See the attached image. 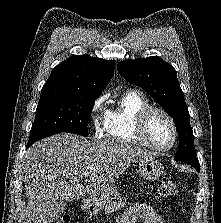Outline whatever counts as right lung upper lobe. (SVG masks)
Masks as SVG:
<instances>
[{
  "label": "right lung upper lobe",
  "mask_w": 221,
  "mask_h": 223,
  "mask_svg": "<svg viewBox=\"0 0 221 223\" xmlns=\"http://www.w3.org/2000/svg\"><path fill=\"white\" fill-rule=\"evenodd\" d=\"M114 73L111 60L74 55L57 65L41 90L39 101L73 97L97 98Z\"/></svg>",
  "instance_id": "right-lung-upper-lobe-1"
}]
</instances>
